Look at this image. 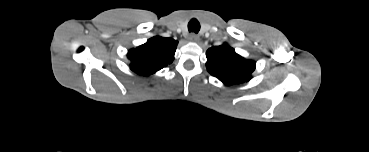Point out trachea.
I'll return each instance as SVG.
<instances>
[{
    "label": "trachea",
    "mask_w": 369,
    "mask_h": 152,
    "mask_svg": "<svg viewBox=\"0 0 369 152\" xmlns=\"http://www.w3.org/2000/svg\"><path fill=\"white\" fill-rule=\"evenodd\" d=\"M188 30L189 32H194V33H198L200 30V23L198 22L197 19L193 18L190 20V22L188 23Z\"/></svg>",
    "instance_id": "3493384b"
}]
</instances>
